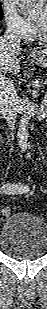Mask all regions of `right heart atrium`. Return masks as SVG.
<instances>
[{"label": "right heart atrium", "mask_w": 47, "mask_h": 309, "mask_svg": "<svg viewBox=\"0 0 47 309\" xmlns=\"http://www.w3.org/2000/svg\"><path fill=\"white\" fill-rule=\"evenodd\" d=\"M4 19L8 31L19 39H27L33 34V28L15 8L10 0L4 2Z\"/></svg>", "instance_id": "d8ad5b80"}]
</instances>
